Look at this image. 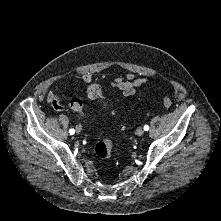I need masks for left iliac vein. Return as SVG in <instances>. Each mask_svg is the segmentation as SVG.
<instances>
[{"instance_id":"4c4485c4","label":"left iliac vein","mask_w":221,"mask_h":221,"mask_svg":"<svg viewBox=\"0 0 221 221\" xmlns=\"http://www.w3.org/2000/svg\"><path fill=\"white\" fill-rule=\"evenodd\" d=\"M136 134L138 136H142L144 134V130L142 128H138L137 131H136Z\"/></svg>"}]
</instances>
